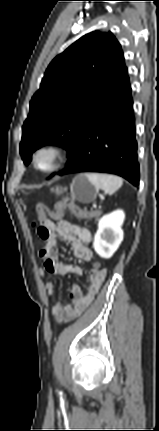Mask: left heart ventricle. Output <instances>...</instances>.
<instances>
[{
    "mask_svg": "<svg viewBox=\"0 0 159 431\" xmlns=\"http://www.w3.org/2000/svg\"><path fill=\"white\" fill-rule=\"evenodd\" d=\"M52 162V157L49 153H43L39 156L38 164L42 168H47Z\"/></svg>",
    "mask_w": 159,
    "mask_h": 431,
    "instance_id": "left-heart-ventricle-1",
    "label": "left heart ventricle"
}]
</instances>
